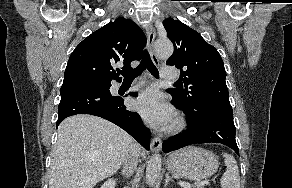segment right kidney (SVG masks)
I'll return each mask as SVG.
<instances>
[{
    "label": "right kidney",
    "mask_w": 292,
    "mask_h": 188,
    "mask_svg": "<svg viewBox=\"0 0 292 188\" xmlns=\"http://www.w3.org/2000/svg\"><path fill=\"white\" fill-rule=\"evenodd\" d=\"M116 181L114 179H108L101 188H115Z\"/></svg>",
    "instance_id": "right-kidney-1"
}]
</instances>
